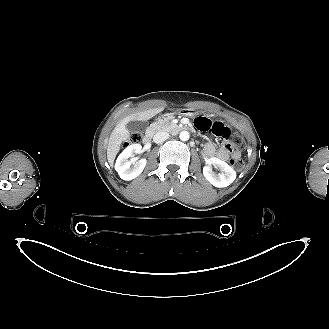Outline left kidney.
Listing matches in <instances>:
<instances>
[{"instance_id":"5707ae66","label":"left kidney","mask_w":329,"mask_h":329,"mask_svg":"<svg viewBox=\"0 0 329 329\" xmlns=\"http://www.w3.org/2000/svg\"><path fill=\"white\" fill-rule=\"evenodd\" d=\"M220 169L221 173H215L211 166ZM204 177L215 187H227L236 179L235 170L226 162L212 157L208 160L207 165L203 167Z\"/></svg>"}]
</instances>
